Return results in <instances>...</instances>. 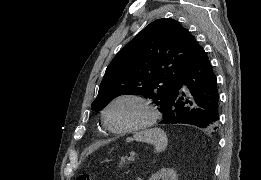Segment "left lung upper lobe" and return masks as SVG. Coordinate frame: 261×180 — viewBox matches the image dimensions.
Masks as SVG:
<instances>
[{
    "label": "left lung upper lobe",
    "mask_w": 261,
    "mask_h": 180,
    "mask_svg": "<svg viewBox=\"0 0 261 180\" xmlns=\"http://www.w3.org/2000/svg\"><path fill=\"white\" fill-rule=\"evenodd\" d=\"M198 46L176 20L153 21L108 65L91 109L98 112L114 97L131 94L152 99L164 112Z\"/></svg>",
    "instance_id": "left-lung-upper-lobe-1"
}]
</instances>
